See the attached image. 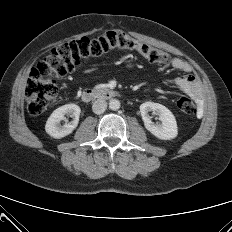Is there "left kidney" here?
Instances as JSON below:
<instances>
[{
  "instance_id": "1",
  "label": "left kidney",
  "mask_w": 232,
  "mask_h": 232,
  "mask_svg": "<svg viewBox=\"0 0 232 232\" xmlns=\"http://www.w3.org/2000/svg\"><path fill=\"white\" fill-rule=\"evenodd\" d=\"M155 112L159 116L161 124H155L151 121L149 112ZM140 112L145 128L154 136L162 140L174 139L178 134V127L175 116L165 106L154 103L145 102L140 105Z\"/></svg>"
}]
</instances>
